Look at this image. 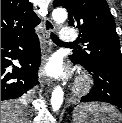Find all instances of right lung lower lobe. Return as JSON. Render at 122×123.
Returning a JSON list of instances; mask_svg holds the SVG:
<instances>
[{"label": "right lung lower lobe", "instance_id": "right-lung-lower-lobe-1", "mask_svg": "<svg viewBox=\"0 0 122 123\" xmlns=\"http://www.w3.org/2000/svg\"><path fill=\"white\" fill-rule=\"evenodd\" d=\"M13 59L19 60L21 67L15 66ZM40 60L36 34L29 38L1 39V101L24 97L38 84L35 71L39 68Z\"/></svg>", "mask_w": 122, "mask_h": 123}]
</instances>
